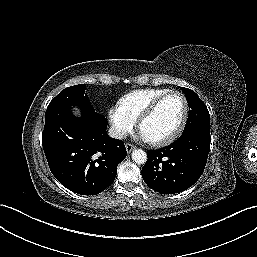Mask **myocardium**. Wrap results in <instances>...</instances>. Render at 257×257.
<instances>
[{"instance_id":"myocardium-1","label":"myocardium","mask_w":257,"mask_h":257,"mask_svg":"<svg viewBox=\"0 0 257 257\" xmlns=\"http://www.w3.org/2000/svg\"><path fill=\"white\" fill-rule=\"evenodd\" d=\"M175 94L179 95L183 101L182 118H181L177 128L167 137L159 139V140H153V141L148 140V142L151 145H154V146L168 145V144L172 143L173 141H175L179 137V135L182 133V131L186 125V122L188 119V114H189V104H188L186 96L180 91L170 90L167 93L163 94L162 96L158 97L156 100H154L137 119V128L140 131L142 124L155 113V111L158 109V107L161 105V103L165 99H167L169 96L175 95Z\"/></svg>"}]
</instances>
